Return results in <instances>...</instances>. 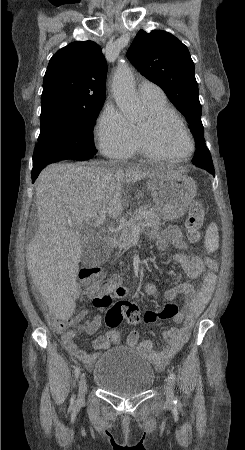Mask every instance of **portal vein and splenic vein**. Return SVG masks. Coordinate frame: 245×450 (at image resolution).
<instances>
[{
    "instance_id": "obj_1",
    "label": "portal vein and splenic vein",
    "mask_w": 245,
    "mask_h": 450,
    "mask_svg": "<svg viewBox=\"0 0 245 450\" xmlns=\"http://www.w3.org/2000/svg\"><path fill=\"white\" fill-rule=\"evenodd\" d=\"M105 217H106V210L103 208V209H101V211L99 212V220H98V222L96 223V225H98L99 223H101V222L105 219ZM70 226L72 227V224H70ZM131 228H132L133 231H139V230H140L139 227L137 226L136 222H133V223L131 224Z\"/></svg>"
}]
</instances>
